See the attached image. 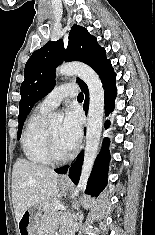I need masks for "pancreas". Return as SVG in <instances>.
Here are the masks:
<instances>
[{"mask_svg":"<svg viewBox=\"0 0 155 235\" xmlns=\"http://www.w3.org/2000/svg\"><path fill=\"white\" fill-rule=\"evenodd\" d=\"M60 204L59 199H53L49 203L43 204V209L45 211V216L53 217L57 215L56 205Z\"/></svg>","mask_w":155,"mask_h":235,"instance_id":"obj_1","label":"pancreas"}]
</instances>
